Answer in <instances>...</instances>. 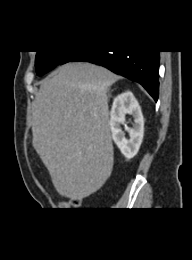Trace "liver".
Returning <instances> with one entry per match:
<instances>
[{
  "instance_id": "6515ba94",
  "label": "liver",
  "mask_w": 192,
  "mask_h": 260,
  "mask_svg": "<svg viewBox=\"0 0 192 260\" xmlns=\"http://www.w3.org/2000/svg\"><path fill=\"white\" fill-rule=\"evenodd\" d=\"M118 79L104 67L75 62L61 66L40 86L32 144L64 197L81 200L111 175L107 90Z\"/></svg>"
}]
</instances>
